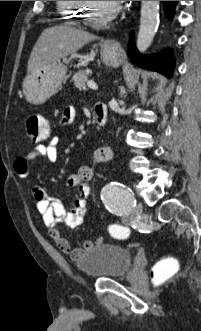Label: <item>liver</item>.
<instances>
[{
    "label": "liver",
    "instance_id": "obj_1",
    "mask_svg": "<svg viewBox=\"0 0 201 331\" xmlns=\"http://www.w3.org/2000/svg\"><path fill=\"white\" fill-rule=\"evenodd\" d=\"M97 38L93 34L68 25L45 29L30 54L27 65L28 75L36 73L48 64L75 53L87 42Z\"/></svg>",
    "mask_w": 201,
    "mask_h": 331
}]
</instances>
